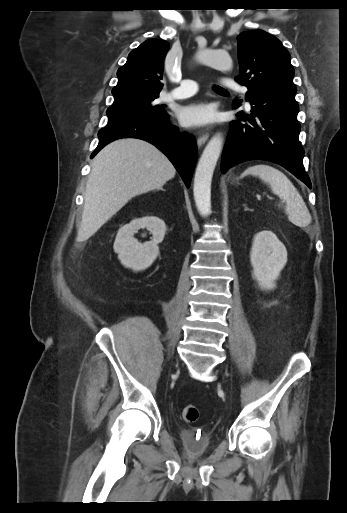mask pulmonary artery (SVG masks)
<instances>
[{
	"instance_id": "1",
	"label": "pulmonary artery",
	"mask_w": 347,
	"mask_h": 513,
	"mask_svg": "<svg viewBox=\"0 0 347 513\" xmlns=\"http://www.w3.org/2000/svg\"><path fill=\"white\" fill-rule=\"evenodd\" d=\"M224 85L242 93L246 92V88L236 84L233 81H225ZM198 91V84L193 80H182L180 86L174 89L169 97L172 99H183L194 95Z\"/></svg>"
}]
</instances>
